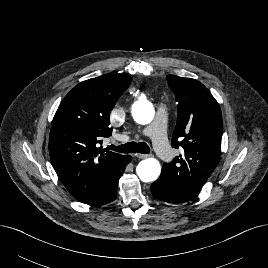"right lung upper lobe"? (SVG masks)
<instances>
[{"instance_id": "cb5924a9", "label": "right lung upper lobe", "mask_w": 268, "mask_h": 268, "mask_svg": "<svg viewBox=\"0 0 268 268\" xmlns=\"http://www.w3.org/2000/svg\"><path fill=\"white\" fill-rule=\"evenodd\" d=\"M132 81L130 74H105L79 83L53 118L49 153L63 185L79 202L90 204L108 184L126 155L98 147L112 134L110 112Z\"/></svg>"}]
</instances>
